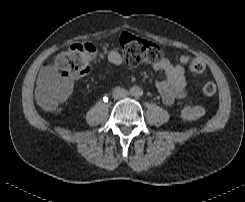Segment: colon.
I'll return each mask as SVG.
<instances>
[{
    "label": "colon",
    "mask_w": 245,
    "mask_h": 202,
    "mask_svg": "<svg viewBox=\"0 0 245 202\" xmlns=\"http://www.w3.org/2000/svg\"><path fill=\"white\" fill-rule=\"evenodd\" d=\"M121 49L126 61L131 65L157 63L164 59L167 54L166 49L159 44L129 34L123 35ZM96 54L97 48L94 44L90 42L76 43L56 57L55 67L63 77L77 78L88 71ZM180 61L196 74H201L205 70V64L202 60L187 54L181 55ZM202 90L205 95L211 96L216 92V85L212 81H206ZM68 96V90L62 86L61 82L57 81L51 86L40 89L36 97L44 109L53 110ZM204 113L203 107L192 105L184 106L181 111L183 119L187 121L200 119Z\"/></svg>",
    "instance_id": "obj_1"
}]
</instances>
